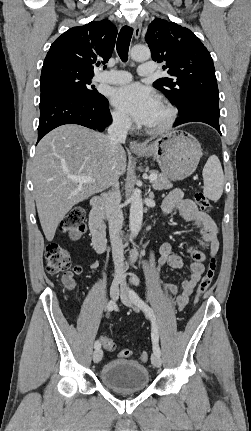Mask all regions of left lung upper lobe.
Listing matches in <instances>:
<instances>
[{
	"mask_svg": "<svg viewBox=\"0 0 251 431\" xmlns=\"http://www.w3.org/2000/svg\"><path fill=\"white\" fill-rule=\"evenodd\" d=\"M145 39L152 59L165 62L163 69L169 75L156 80L153 86L179 113L198 101H219L212 57L192 31L157 18L149 25Z\"/></svg>",
	"mask_w": 251,
	"mask_h": 431,
	"instance_id": "5c2ea615",
	"label": "left lung upper lobe"
}]
</instances>
